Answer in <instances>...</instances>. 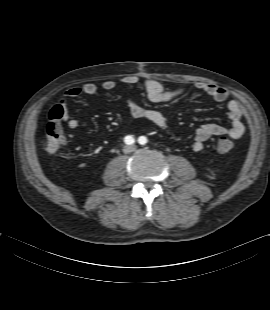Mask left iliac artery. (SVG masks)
Segmentation results:
<instances>
[{"label":"left iliac artery","mask_w":270,"mask_h":310,"mask_svg":"<svg viewBox=\"0 0 270 310\" xmlns=\"http://www.w3.org/2000/svg\"><path fill=\"white\" fill-rule=\"evenodd\" d=\"M138 142L141 145H145L147 143V138L145 136H141V137H139Z\"/></svg>","instance_id":"1"}]
</instances>
